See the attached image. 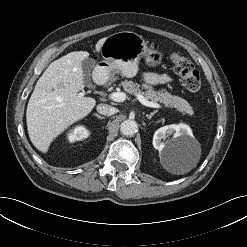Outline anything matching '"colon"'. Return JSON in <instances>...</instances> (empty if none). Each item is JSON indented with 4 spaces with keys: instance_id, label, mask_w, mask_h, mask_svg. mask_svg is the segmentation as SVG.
I'll list each match as a JSON object with an SVG mask.
<instances>
[{
    "instance_id": "5ec220e1",
    "label": "colon",
    "mask_w": 247,
    "mask_h": 247,
    "mask_svg": "<svg viewBox=\"0 0 247 247\" xmlns=\"http://www.w3.org/2000/svg\"><path fill=\"white\" fill-rule=\"evenodd\" d=\"M170 61L174 71L180 76L183 86L190 92H197L201 87V78L192 62L178 53H173Z\"/></svg>"
}]
</instances>
